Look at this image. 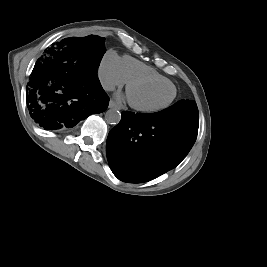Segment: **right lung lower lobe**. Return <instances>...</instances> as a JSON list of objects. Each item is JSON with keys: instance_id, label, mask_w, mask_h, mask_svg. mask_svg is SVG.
Segmentation results:
<instances>
[{"instance_id": "right-lung-lower-lobe-1", "label": "right lung lower lobe", "mask_w": 267, "mask_h": 267, "mask_svg": "<svg viewBox=\"0 0 267 267\" xmlns=\"http://www.w3.org/2000/svg\"><path fill=\"white\" fill-rule=\"evenodd\" d=\"M26 96L30 116L45 130L74 127L109 104L97 69L61 43L36 62Z\"/></svg>"}]
</instances>
